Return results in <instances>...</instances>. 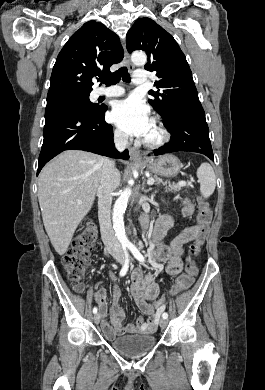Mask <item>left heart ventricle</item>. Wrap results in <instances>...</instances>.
Wrapping results in <instances>:
<instances>
[{
  "mask_svg": "<svg viewBox=\"0 0 265 390\" xmlns=\"http://www.w3.org/2000/svg\"><path fill=\"white\" fill-rule=\"evenodd\" d=\"M155 136H156V132H155V129H154V126H153L151 132L149 133V135L147 136L146 139H153Z\"/></svg>",
  "mask_w": 265,
  "mask_h": 390,
  "instance_id": "left-heart-ventricle-1",
  "label": "left heart ventricle"
}]
</instances>
